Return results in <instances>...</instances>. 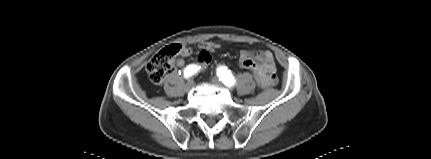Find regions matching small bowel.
I'll use <instances>...</instances> for the list:
<instances>
[{
  "label": "small bowel",
  "mask_w": 431,
  "mask_h": 159,
  "mask_svg": "<svg viewBox=\"0 0 431 159\" xmlns=\"http://www.w3.org/2000/svg\"><path fill=\"white\" fill-rule=\"evenodd\" d=\"M199 48L201 50L200 53L203 51H205V53H210L218 49L219 44L215 42H205L201 44ZM184 65V59L179 58L176 61L177 67L181 68ZM239 66L251 71L254 75H257L262 87L274 85L277 82V69L273 55L270 51L242 50L240 52ZM200 78H203V76L200 75Z\"/></svg>",
  "instance_id": "1"
}]
</instances>
